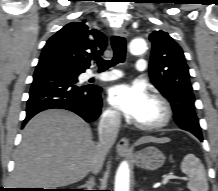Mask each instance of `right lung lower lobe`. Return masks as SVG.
Here are the masks:
<instances>
[{
	"label": "right lung lower lobe",
	"instance_id": "1",
	"mask_svg": "<svg viewBox=\"0 0 218 191\" xmlns=\"http://www.w3.org/2000/svg\"><path fill=\"white\" fill-rule=\"evenodd\" d=\"M101 88L80 86L68 72L55 64H38L27 101L25 125L37 113L60 108L70 110L85 121H95L101 113Z\"/></svg>",
	"mask_w": 218,
	"mask_h": 191
}]
</instances>
